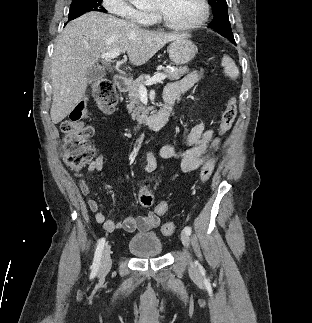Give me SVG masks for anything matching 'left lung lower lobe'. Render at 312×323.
I'll list each match as a JSON object with an SVG mask.
<instances>
[{
	"label": "left lung lower lobe",
	"instance_id": "1",
	"mask_svg": "<svg viewBox=\"0 0 312 323\" xmlns=\"http://www.w3.org/2000/svg\"><path fill=\"white\" fill-rule=\"evenodd\" d=\"M231 41H232L234 44H236V43H235V40H231Z\"/></svg>",
	"mask_w": 312,
	"mask_h": 323
}]
</instances>
